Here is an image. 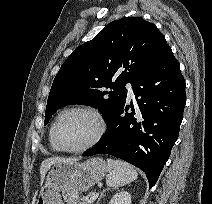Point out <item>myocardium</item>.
<instances>
[{"mask_svg": "<svg viewBox=\"0 0 212 204\" xmlns=\"http://www.w3.org/2000/svg\"><path fill=\"white\" fill-rule=\"evenodd\" d=\"M73 112H80V113H84V114H87L88 116H90L95 123L96 130H95L93 137L83 146H80L77 148H68V147H65L60 142L58 135H57V127H58L60 120L65 115H67L69 113H73ZM105 131H106V123H105L103 115L97 109H94L91 107H86V106H73V107L64 109L56 117V119L52 125V128H51L52 137H53V140H54L55 144L57 145V147L61 151L68 152V153H82V152H85V151L93 148L102 139V137L105 134Z\"/></svg>", "mask_w": 212, "mask_h": 204, "instance_id": "1", "label": "myocardium"}]
</instances>
